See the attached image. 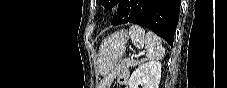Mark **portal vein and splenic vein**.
Masks as SVG:
<instances>
[{"label":"portal vein and splenic vein","mask_w":227,"mask_h":88,"mask_svg":"<svg viewBox=\"0 0 227 88\" xmlns=\"http://www.w3.org/2000/svg\"><path fill=\"white\" fill-rule=\"evenodd\" d=\"M138 55H132V57H137Z\"/></svg>","instance_id":"18ae733b"}]
</instances>
